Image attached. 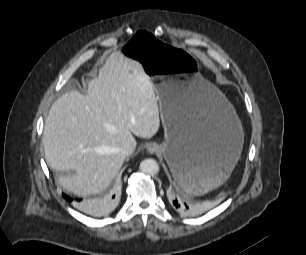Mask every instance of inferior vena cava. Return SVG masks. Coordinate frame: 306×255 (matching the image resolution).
I'll use <instances>...</instances> for the list:
<instances>
[{
    "label": "inferior vena cava",
    "mask_w": 306,
    "mask_h": 255,
    "mask_svg": "<svg viewBox=\"0 0 306 255\" xmlns=\"http://www.w3.org/2000/svg\"><path fill=\"white\" fill-rule=\"evenodd\" d=\"M134 150H135V146L126 143V144H124V145L120 148V153H121V155H123L124 157H127V156H129Z\"/></svg>",
    "instance_id": "1"
}]
</instances>
